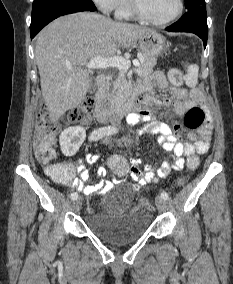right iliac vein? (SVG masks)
Returning a JSON list of instances; mask_svg holds the SVG:
<instances>
[{"label":"right iliac vein","mask_w":233,"mask_h":284,"mask_svg":"<svg viewBox=\"0 0 233 284\" xmlns=\"http://www.w3.org/2000/svg\"><path fill=\"white\" fill-rule=\"evenodd\" d=\"M81 204H82L81 198L78 197L73 201L72 207L75 211H79L81 208Z\"/></svg>","instance_id":"1"}]
</instances>
